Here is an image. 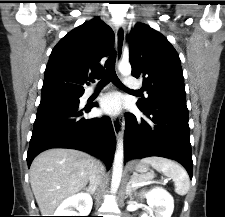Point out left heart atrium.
Here are the masks:
<instances>
[{
  "label": "left heart atrium",
  "mask_w": 225,
  "mask_h": 217,
  "mask_svg": "<svg viewBox=\"0 0 225 217\" xmlns=\"http://www.w3.org/2000/svg\"><path fill=\"white\" fill-rule=\"evenodd\" d=\"M122 107V98L116 92L108 93L100 100V111L107 115L116 116L120 114Z\"/></svg>",
  "instance_id": "1"
}]
</instances>
